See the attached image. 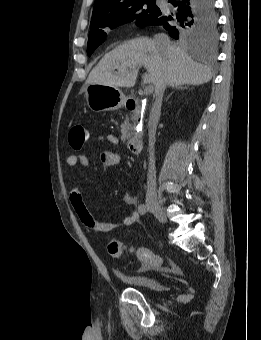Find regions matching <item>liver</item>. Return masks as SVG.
Masks as SVG:
<instances>
[{
    "instance_id": "6515ba94",
    "label": "liver",
    "mask_w": 261,
    "mask_h": 340,
    "mask_svg": "<svg viewBox=\"0 0 261 340\" xmlns=\"http://www.w3.org/2000/svg\"><path fill=\"white\" fill-rule=\"evenodd\" d=\"M144 66L148 72L144 84L201 85L212 78L211 70L176 45L166 51L157 49L154 40L140 37L124 43L107 53L92 69L88 84L131 88L135 85L138 69Z\"/></svg>"
}]
</instances>
